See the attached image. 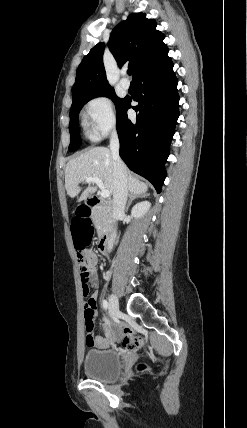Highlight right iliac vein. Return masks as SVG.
<instances>
[{
    "mask_svg": "<svg viewBox=\"0 0 247 428\" xmlns=\"http://www.w3.org/2000/svg\"><path fill=\"white\" fill-rule=\"evenodd\" d=\"M109 312L112 317H116L119 314V302L115 294H111L109 298Z\"/></svg>",
    "mask_w": 247,
    "mask_h": 428,
    "instance_id": "1",
    "label": "right iliac vein"
}]
</instances>
